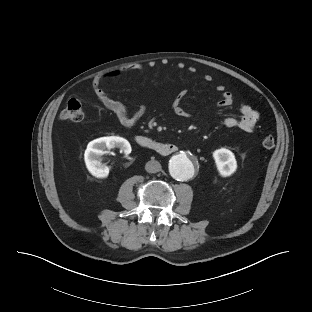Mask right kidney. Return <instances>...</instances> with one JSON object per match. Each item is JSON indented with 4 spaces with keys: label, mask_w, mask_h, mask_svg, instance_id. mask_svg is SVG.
<instances>
[{
    "label": "right kidney",
    "mask_w": 312,
    "mask_h": 312,
    "mask_svg": "<svg viewBox=\"0 0 312 312\" xmlns=\"http://www.w3.org/2000/svg\"><path fill=\"white\" fill-rule=\"evenodd\" d=\"M119 148L120 152L128 155L131 153L130 143L117 136L101 137L95 139L87 145L85 150L84 159L88 171L97 178H105L109 174V168L102 163V155L105 149Z\"/></svg>",
    "instance_id": "right-kidney-1"
}]
</instances>
